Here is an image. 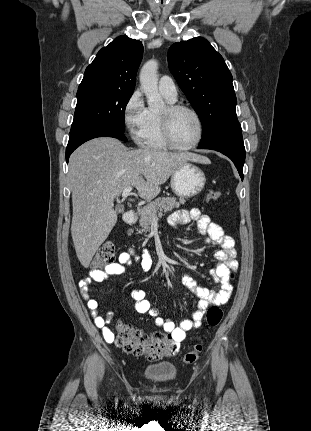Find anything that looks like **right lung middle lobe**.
Wrapping results in <instances>:
<instances>
[{
	"mask_svg": "<svg viewBox=\"0 0 311 431\" xmlns=\"http://www.w3.org/2000/svg\"><path fill=\"white\" fill-rule=\"evenodd\" d=\"M132 93L102 89L77 91L73 132L89 125H105L125 131V108Z\"/></svg>",
	"mask_w": 311,
	"mask_h": 431,
	"instance_id": "1",
	"label": "right lung middle lobe"
}]
</instances>
